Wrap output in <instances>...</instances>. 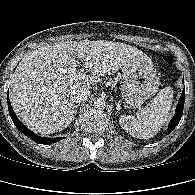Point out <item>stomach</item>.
Masks as SVG:
<instances>
[{
  "label": "stomach",
  "instance_id": "0dacf381",
  "mask_svg": "<svg viewBox=\"0 0 195 195\" xmlns=\"http://www.w3.org/2000/svg\"><path fill=\"white\" fill-rule=\"evenodd\" d=\"M122 99L126 107L135 108L155 95L159 87L152 60L138 57L123 70Z\"/></svg>",
  "mask_w": 195,
  "mask_h": 195
}]
</instances>
